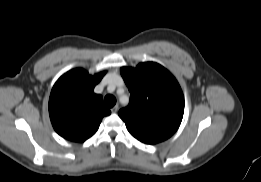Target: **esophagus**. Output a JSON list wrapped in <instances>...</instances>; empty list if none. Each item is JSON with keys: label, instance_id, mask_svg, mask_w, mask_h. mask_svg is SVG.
Returning a JSON list of instances; mask_svg holds the SVG:
<instances>
[{"label": "esophagus", "instance_id": "esophagus-1", "mask_svg": "<svg viewBox=\"0 0 261 182\" xmlns=\"http://www.w3.org/2000/svg\"><path fill=\"white\" fill-rule=\"evenodd\" d=\"M112 113H116L118 111V105H115L112 109H111Z\"/></svg>", "mask_w": 261, "mask_h": 182}]
</instances>
